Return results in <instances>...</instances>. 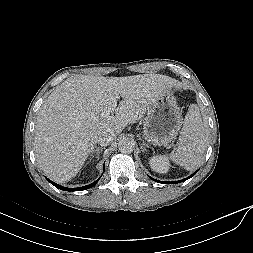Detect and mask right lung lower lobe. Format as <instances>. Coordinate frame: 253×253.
<instances>
[{
    "mask_svg": "<svg viewBox=\"0 0 253 253\" xmlns=\"http://www.w3.org/2000/svg\"><path fill=\"white\" fill-rule=\"evenodd\" d=\"M100 178H98L96 181H94L93 183L89 184V185H86V186H83V187H79V188H66V187H63V186H60L52 181H50L49 179H47L51 184H53L55 187H57L58 189H61V190H64V191H82V190H86V189H89L91 187H93L99 180Z\"/></svg>",
    "mask_w": 253,
    "mask_h": 253,
    "instance_id": "1",
    "label": "right lung lower lobe"
}]
</instances>
